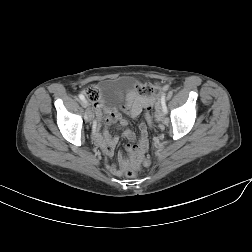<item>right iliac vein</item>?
<instances>
[{
	"label": "right iliac vein",
	"mask_w": 252,
	"mask_h": 252,
	"mask_svg": "<svg viewBox=\"0 0 252 252\" xmlns=\"http://www.w3.org/2000/svg\"><path fill=\"white\" fill-rule=\"evenodd\" d=\"M82 105L86 107L85 118L88 122L93 120V112L92 109L88 106L87 102H82Z\"/></svg>",
	"instance_id": "1"
}]
</instances>
